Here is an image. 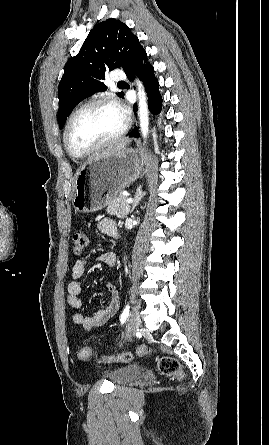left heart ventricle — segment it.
Wrapping results in <instances>:
<instances>
[{"label": "left heart ventricle", "mask_w": 269, "mask_h": 445, "mask_svg": "<svg viewBox=\"0 0 269 445\" xmlns=\"http://www.w3.org/2000/svg\"><path fill=\"white\" fill-rule=\"evenodd\" d=\"M124 115L114 106L96 105L73 120L68 140L76 152L88 151L115 136L124 124Z\"/></svg>", "instance_id": "1"}]
</instances>
